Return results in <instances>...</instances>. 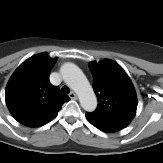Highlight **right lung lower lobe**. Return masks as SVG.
I'll use <instances>...</instances> for the list:
<instances>
[{
    "label": "right lung lower lobe",
    "instance_id": "1",
    "mask_svg": "<svg viewBox=\"0 0 163 163\" xmlns=\"http://www.w3.org/2000/svg\"><path fill=\"white\" fill-rule=\"evenodd\" d=\"M48 123V122H47ZM46 123H43V124H31V125H26V126H29V127H40V126H43L45 125Z\"/></svg>",
    "mask_w": 163,
    "mask_h": 163
}]
</instances>
